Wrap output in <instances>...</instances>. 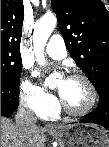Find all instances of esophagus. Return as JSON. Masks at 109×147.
Masks as SVG:
<instances>
[{
  "label": "esophagus",
  "mask_w": 109,
  "mask_h": 147,
  "mask_svg": "<svg viewBox=\"0 0 109 147\" xmlns=\"http://www.w3.org/2000/svg\"><path fill=\"white\" fill-rule=\"evenodd\" d=\"M45 128H46V129H51V128H53V127H52L50 124H46V125H45Z\"/></svg>",
  "instance_id": "esophagus-1"
}]
</instances>
